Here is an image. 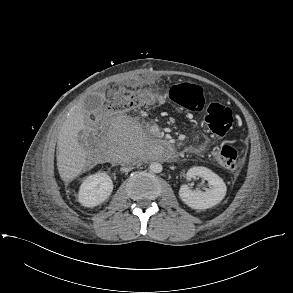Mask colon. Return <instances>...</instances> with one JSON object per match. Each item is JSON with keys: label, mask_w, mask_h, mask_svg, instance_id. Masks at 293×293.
<instances>
[{"label": "colon", "mask_w": 293, "mask_h": 293, "mask_svg": "<svg viewBox=\"0 0 293 293\" xmlns=\"http://www.w3.org/2000/svg\"><path fill=\"white\" fill-rule=\"evenodd\" d=\"M171 101L187 110L200 112L204 108L203 90L193 83H182L174 86L170 91ZM155 97L147 91H137L113 101L107 107L109 113H123L154 103ZM232 111L220 103H211L206 111L205 123L208 129L216 136H224L232 126ZM213 156L216 161L228 170L239 168V156L237 151L228 145L215 148Z\"/></svg>", "instance_id": "1"}]
</instances>
